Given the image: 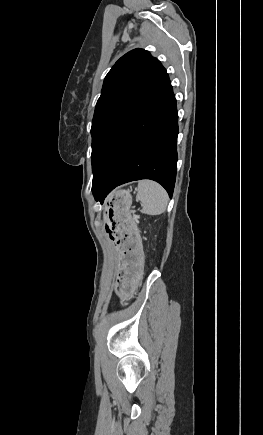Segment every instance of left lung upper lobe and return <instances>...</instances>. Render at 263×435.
Wrapping results in <instances>:
<instances>
[{"label": "left lung upper lobe", "mask_w": 263, "mask_h": 435, "mask_svg": "<svg viewBox=\"0 0 263 435\" xmlns=\"http://www.w3.org/2000/svg\"><path fill=\"white\" fill-rule=\"evenodd\" d=\"M169 83L165 68L146 50H131L114 64L92 121L93 178L122 132Z\"/></svg>", "instance_id": "5c2ea615"}]
</instances>
